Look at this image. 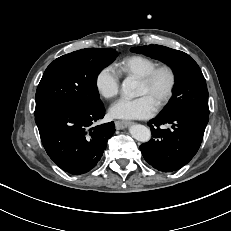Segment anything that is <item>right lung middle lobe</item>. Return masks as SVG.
I'll use <instances>...</instances> for the list:
<instances>
[{
	"instance_id": "obj_1",
	"label": "right lung middle lobe",
	"mask_w": 231,
	"mask_h": 231,
	"mask_svg": "<svg viewBox=\"0 0 231 231\" xmlns=\"http://www.w3.org/2000/svg\"><path fill=\"white\" fill-rule=\"evenodd\" d=\"M117 55L111 48H87L54 60L38 85L35 116L57 108L86 110L103 105L97 76Z\"/></svg>"
}]
</instances>
